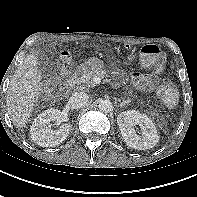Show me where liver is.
Segmentation results:
<instances>
[{"label":"liver","instance_id":"6515ba94","mask_svg":"<svg viewBox=\"0 0 197 197\" xmlns=\"http://www.w3.org/2000/svg\"><path fill=\"white\" fill-rule=\"evenodd\" d=\"M38 52L28 55L12 77L7 91V111L14 126L26 125L42 91Z\"/></svg>","mask_w":197,"mask_h":197}]
</instances>
